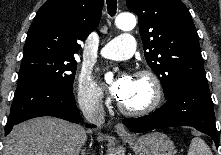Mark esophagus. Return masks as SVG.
I'll return each mask as SVG.
<instances>
[{"label": "esophagus", "instance_id": "obj_1", "mask_svg": "<svg viewBox=\"0 0 221 155\" xmlns=\"http://www.w3.org/2000/svg\"><path fill=\"white\" fill-rule=\"evenodd\" d=\"M115 128H116L117 134L120 137H122V138H129L130 137L128 130L126 129V127L122 123H117Z\"/></svg>", "mask_w": 221, "mask_h": 155}]
</instances>
